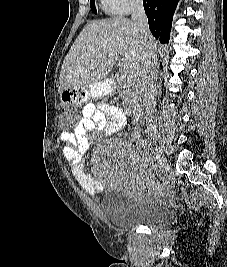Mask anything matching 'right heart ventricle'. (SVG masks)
I'll return each instance as SVG.
<instances>
[{
  "label": "right heart ventricle",
  "mask_w": 227,
  "mask_h": 267,
  "mask_svg": "<svg viewBox=\"0 0 227 267\" xmlns=\"http://www.w3.org/2000/svg\"><path fill=\"white\" fill-rule=\"evenodd\" d=\"M102 7L104 9V11L108 14H117V12L115 11V9L113 7H111L110 5L106 4L104 2V0H102Z\"/></svg>",
  "instance_id": "obj_1"
}]
</instances>
